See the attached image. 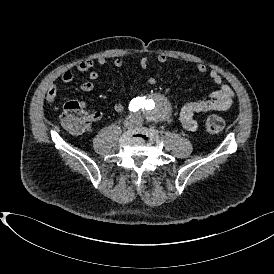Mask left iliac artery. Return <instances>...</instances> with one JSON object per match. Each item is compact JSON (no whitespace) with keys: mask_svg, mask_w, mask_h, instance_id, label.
Masks as SVG:
<instances>
[{"mask_svg":"<svg viewBox=\"0 0 274 274\" xmlns=\"http://www.w3.org/2000/svg\"><path fill=\"white\" fill-rule=\"evenodd\" d=\"M151 101V100H150ZM149 100H145L144 101V107L146 108V109H151L150 107H151V102H150Z\"/></svg>","mask_w":274,"mask_h":274,"instance_id":"44dca946","label":"left iliac artery"}]
</instances>
